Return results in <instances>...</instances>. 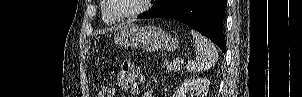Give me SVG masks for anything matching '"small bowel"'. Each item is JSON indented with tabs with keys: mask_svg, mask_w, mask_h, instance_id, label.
Segmentation results:
<instances>
[{
	"mask_svg": "<svg viewBox=\"0 0 302 97\" xmlns=\"http://www.w3.org/2000/svg\"><path fill=\"white\" fill-rule=\"evenodd\" d=\"M118 84L125 92L139 94L142 89L147 88L148 81L136 66L125 62L121 67ZM144 97L150 95L145 94Z\"/></svg>",
	"mask_w": 302,
	"mask_h": 97,
	"instance_id": "c3829d8e",
	"label": "small bowel"
}]
</instances>
